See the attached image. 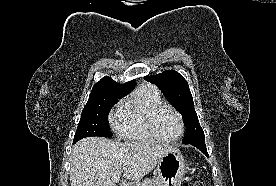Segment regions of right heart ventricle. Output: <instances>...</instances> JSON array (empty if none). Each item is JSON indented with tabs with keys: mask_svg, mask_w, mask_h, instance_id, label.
Wrapping results in <instances>:
<instances>
[{
	"mask_svg": "<svg viewBox=\"0 0 276 186\" xmlns=\"http://www.w3.org/2000/svg\"><path fill=\"white\" fill-rule=\"evenodd\" d=\"M162 103L164 100L155 87L143 86L120 109L117 122L119 135L130 141L159 142L150 131L149 117L152 110Z\"/></svg>",
	"mask_w": 276,
	"mask_h": 186,
	"instance_id": "1",
	"label": "right heart ventricle"
}]
</instances>
